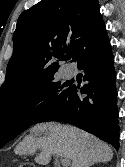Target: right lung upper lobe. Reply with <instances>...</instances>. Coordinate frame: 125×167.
Returning <instances> with one entry per match:
<instances>
[{
	"label": "right lung upper lobe",
	"mask_w": 125,
	"mask_h": 167,
	"mask_svg": "<svg viewBox=\"0 0 125 167\" xmlns=\"http://www.w3.org/2000/svg\"><path fill=\"white\" fill-rule=\"evenodd\" d=\"M105 29L98 0H41L18 18L13 54L0 100L20 95L54 77L59 54L80 53Z\"/></svg>",
	"instance_id": "right-lung-upper-lobe-1"
}]
</instances>
